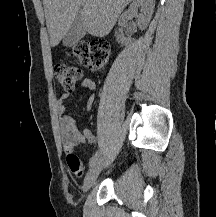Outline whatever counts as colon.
Here are the masks:
<instances>
[{"label":"colon","instance_id":"obj_1","mask_svg":"<svg viewBox=\"0 0 216 217\" xmlns=\"http://www.w3.org/2000/svg\"><path fill=\"white\" fill-rule=\"evenodd\" d=\"M110 53V44L104 40L81 41L76 43L70 52L81 67L99 72L104 67ZM75 65L57 64L54 67V76L62 86L70 90L81 77V67ZM70 169L77 174L82 172L81 163L73 152L67 155Z\"/></svg>","mask_w":216,"mask_h":217}]
</instances>
